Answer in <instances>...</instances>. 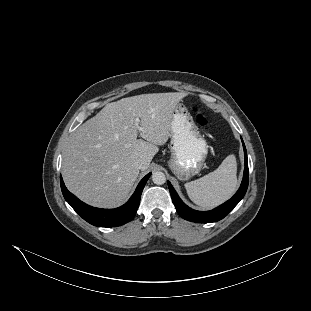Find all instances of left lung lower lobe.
Wrapping results in <instances>:
<instances>
[{"label": "left lung lower lobe", "instance_id": "0a47b994", "mask_svg": "<svg viewBox=\"0 0 311 311\" xmlns=\"http://www.w3.org/2000/svg\"><path fill=\"white\" fill-rule=\"evenodd\" d=\"M242 143L244 148L245 169L241 186L237 193L230 200L220 205L219 207L210 211H196L189 208L182 202V200L179 198L176 191L172 187L171 183L168 181V187L172 197V201L176 207L177 212L182 218L197 223L216 222L223 219L240 202V200L244 197L247 191L249 181L247 152L243 140Z\"/></svg>", "mask_w": 311, "mask_h": 311}]
</instances>
